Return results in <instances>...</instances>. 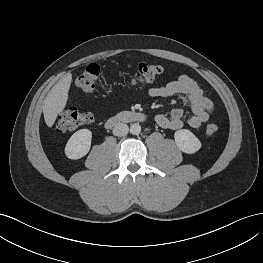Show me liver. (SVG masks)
<instances>
[{
  "label": "liver",
  "instance_id": "6515ba94",
  "mask_svg": "<svg viewBox=\"0 0 263 263\" xmlns=\"http://www.w3.org/2000/svg\"><path fill=\"white\" fill-rule=\"evenodd\" d=\"M72 82V74L67 73L49 91L43 106L44 120L48 127H52L65 108L68 100V93Z\"/></svg>",
  "mask_w": 263,
  "mask_h": 263
}]
</instances>
